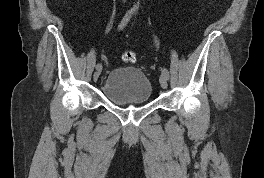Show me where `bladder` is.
<instances>
[{
  "label": "bladder",
  "mask_w": 264,
  "mask_h": 178,
  "mask_svg": "<svg viewBox=\"0 0 264 178\" xmlns=\"http://www.w3.org/2000/svg\"><path fill=\"white\" fill-rule=\"evenodd\" d=\"M104 98L118 106H132L150 101L152 86L137 68L120 67L109 72L101 84Z\"/></svg>",
  "instance_id": "31cf9c89"
}]
</instances>
